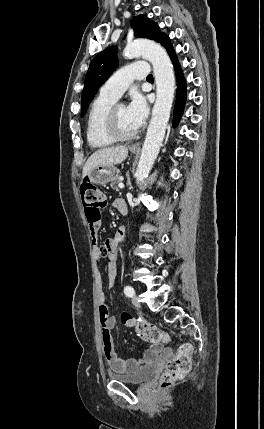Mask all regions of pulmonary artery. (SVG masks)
<instances>
[{"mask_svg":"<svg viewBox=\"0 0 264 429\" xmlns=\"http://www.w3.org/2000/svg\"><path fill=\"white\" fill-rule=\"evenodd\" d=\"M149 74L146 62H136L115 72L101 87L100 93L118 99L134 80H140Z\"/></svg>","mask_w":264,"mask_h":429,"instance_id":"pulmonary-artery-1","label":"pulmonary artery"}]
</instances>
